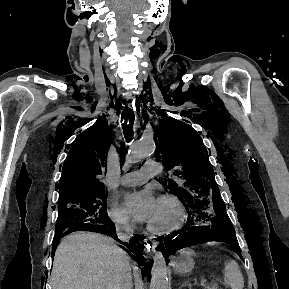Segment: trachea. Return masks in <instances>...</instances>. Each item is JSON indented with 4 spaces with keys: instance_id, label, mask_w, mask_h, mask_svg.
<instances>
[{
    "instance_id": "trachea-1",
    "label": "trachea",
    "mask_w": 289,
    "mask_h": 289,
    "mask_svg": "<svg viewBox=\"0 0 289 289\" xmlns=\"http://www.w3.org/2000/svg\"><path fill=\"white\" fill-rule=\"evenodd\" d=\"M134 111L126 107L123 111V118L124 122L122 123L123 133L127 142H130L133 138L134 131H133V123H134Z\"/></svg>"
}]
</instances>
